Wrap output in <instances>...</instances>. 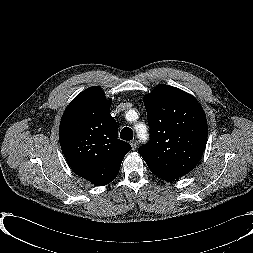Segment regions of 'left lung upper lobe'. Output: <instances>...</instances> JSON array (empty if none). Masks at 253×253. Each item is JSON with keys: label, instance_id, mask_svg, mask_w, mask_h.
Returning <instances> with one entry per match:
<instances>
[{"label": "left lung upper lobe", "instance_id": "1", "mask_svg": "<svg viewBox=\"0 0 253 253\" xmlns=\"http://www.w3.org/2000/svg\"><path fill=\"white\" fill-rule=\"evenodd\" d=\"M150 141L138 149L149 169L161 179H176L199 162L207 140L202 106L187 92L159 84L144 97Z\"/></svg>", "mask_w": 253, "mask_h": 253}]
</instances>
